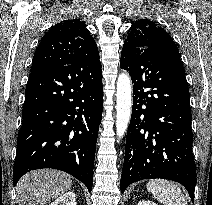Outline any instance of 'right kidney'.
<instances>
[{
	"label": "right kidney",
	"mask_w": 212,
	"mask_h": 205,
	"mask_svg": "<svg viewBox=\"0 0 212 205\" xmlns=\"http://www.w3.org/2000/svg\"><path fill=\"white\" fill-rule=\"evenodd\" d=\"M49 205H76L75 194L73 192H67Z\"/></svg>",
	"instance_id": "ca27d5eb"
}]
</instances>
